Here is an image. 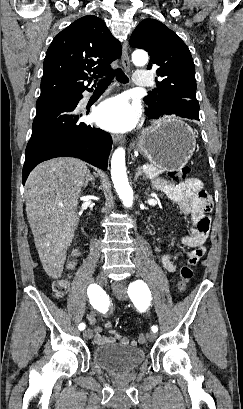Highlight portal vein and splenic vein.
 I'll use <instances>...</instances> for the list:
<instances>
[{
  "label": "portal vein and splenic vein",
  "instance_id": "portal-vein-and-splenic-vein-1",
  "mask_svg": "<svg viewBox=\"0 0 243 409\" xmlns=\"http://www.w3.org/2000/svg\"><path fill=\"white\" fill-rule=\"evenodd\" d=\"M142 169L145 171V170H147L148 169V165H143L142 166Z\"/></svg>",
  "mask_w": 243,
  "mask_h": 409
}]
</instances>
